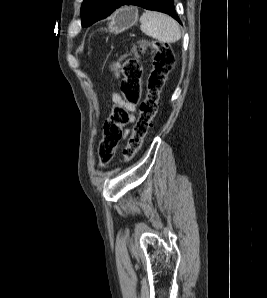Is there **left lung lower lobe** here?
<instances>
[{
  "instance_id": "obj_1",
  "label": "left lung lower lobe",
  "mask_w": 267,
  "mask_h": 298,
  "mask_svg": "<svg viewBox=\"0 0 267 298\" xmlns=\"http://www.w3.org/2000/svg\"><path fill=\"white\" fill-rule=\"evenodd\" d=\"M123 5H136L148 10L164 12L180 22L177 15H175L173 0H115L109 11L100 15H96L91 21L86 23L85 27L92 25L98 20L108 17L112 12Z\"/></svg>"
}]
</instances>
